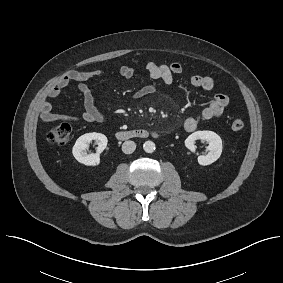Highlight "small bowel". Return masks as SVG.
<instances>
[{
  "label": "small bowel",
  "mask_w": 283,
  "mask_h": 283,
  "mask_svg": "<svg viewBox=\"0 0 283 283\" xmlns=\"http://www.w3.org/2000/svg\"><path fill=\"white\" fill-rule=\"evenodd\" d=\"M146 70L153 80H160L165 85H170L173 82V77L183 72V67L178 62L171 64H157L149 62L146 65ZM119 75L123 78L129 79L135 75V69L128 65H123L119 68ZM101 74L100 70L91 71H70L65 74L59 82L49 91L51 99L57 98L62 90L69 86L71 83H78V89L83 97V106L81 109L73 111L71 114L58 113L54 110V106L50 101H45L41 108V118L44 122H57V121H77L83 120L86 122H103L106 119L95 104L94 96L88 85V82L94 77ZM189 82L191 86L202 88L210 91L215 87L214 80L206 75L196 74L190 77ZM156 91L155 84H149L138 90L133 98L140 99L150 95ZM229 104V97L224 93H217L214 95L210 103L202 110L200 117H188L184 121V129L188 132L195 131L200 121H207L213 118L220 117L227 105Z\"/></svg>",
  "instance_id": "c3829d8e"
}]
</instances>
